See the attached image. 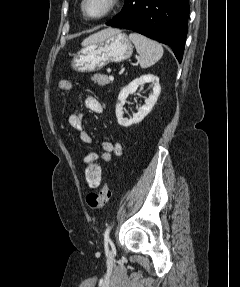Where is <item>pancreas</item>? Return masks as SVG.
<instances>
[{"instance_id": "1", "label": "pancreas", "mask_w": 240, "mask_h": 287, "mask_svg": "<svg viewBox=\"0 0 240 287\" xmlns=\"http://www.w3.org/2000/svg\"><path fill=\"white\" fill-rule=\"evenodd\" d=\"M92 80L97 83L98 85H106L109 84L111 82L110 79H108V77L106 75H101V74H95L92 77Z\"/></svg>"}]
</instances>
